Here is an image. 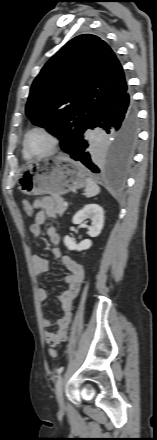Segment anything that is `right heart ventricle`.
Returning <instances> with one entry per match:
<instances>
[{"mask_svg":"<svg viewBox=\"0 0 157 440\" xmlns=\"http://www.w3.org/2000/svg\"><path fill=\"white\" fill-rule=\"evenodd\" d=\"M24 156H25V157H28V155H26L25 152H24Z\"/></svg>","mask_w":157,"mask_h":440,"instance_id":"e07e8e85","label":"right heart ventricle"}]
</instances>
